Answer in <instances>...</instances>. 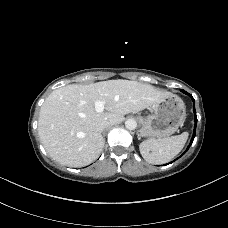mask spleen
Returning <instances> with one entry per match:
<instances>
[{
  "mask_svg": "<svg viewBox=\"0 0 228 228\" xmlns=\"http://www.w3.org/2000/svg\"><path fill=\"white\" fill-rule=\"evenodd\" d=\"M188 132L159 140H146L139 145L142 157L151 164H164L172 160L184 147Z\"/></svg>",
  "mask_w": 228,
  "mask_h": 228,
  "instance_id": "1",
  "label": "spleen"
}]
</instances>
